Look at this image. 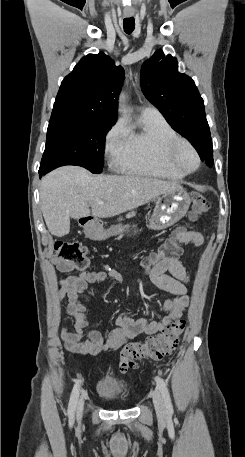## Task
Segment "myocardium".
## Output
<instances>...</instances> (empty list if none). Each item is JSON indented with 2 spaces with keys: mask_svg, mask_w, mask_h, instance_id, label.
I'll return each instance as SVG.
<instances>
[{
  "mask_svg": "<svg viewBox=\"0 0 245 457\" xmlns=\"http://www.w3.org/2000/svg\"><path fill=\"white\" fill-rule=\"evenodd\" d=\"M181 148H185L192 155L195 162L193 168L186 169L175 162L174 154L178 149ZM151 157L155 164L158 166L172 170L182 175H188L195 172L199 168L201 162L198 153L192 146V143L183 137H178L172 140L164 147H159L156 143L153 150L151 151Z\"/></svg>",
  "mask_w": 245,
  "mask_h": 457,
  "instance_id": "f54148a6",
  "label": "myocardium"
}]
</instances>
